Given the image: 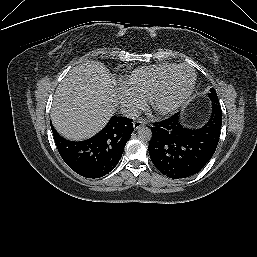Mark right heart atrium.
<instances>
[{
  "mask_svg": "<svg viewBox=\"0 0 257 257\" xmlns=\"http://www.w3.org/2000/svg\"><path fill=\"white\" fill-rule=\"evenodd\" d=\"M120 100L122 106L126 112L130 115L136 114L138 111L144 108L145 101L134 92L123 88L120 94Z\"/></svg>",
  "mask_w": 257,
  "mask_h": 257,
  "instance_id": "1",
  "label": "right heart atrium"
}]
</instances>
